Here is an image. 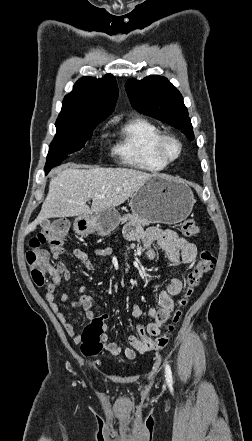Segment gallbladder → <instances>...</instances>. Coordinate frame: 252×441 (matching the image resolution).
Returning a JSON list of instances; mask_svg holds the SVG:
<instances>
[{
	"label": "gallbladder",
	"mask_w": 252,
	"mask_h": 441,
	"mask_svg": "<svg viewBox=\"0 0 252 441\" xmlns=\"http://www.w3.org/2000/svg\"><path fill=\"white\" fill-rule=\"evenodd\" d=\"M40 225L42 228H48L50 226V221L49 220L43 221L42 223H40Z\"/></svg>",
	"instance_id": "gallbladder-1"
}]
</instances>
